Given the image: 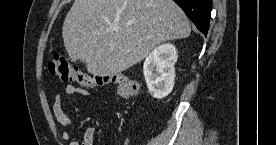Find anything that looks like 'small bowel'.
Segmentation results:
<instances>
[{
  "mask_svg": "<svg viewBox=\"0 0 276 145\" xmlns=\"http://www.w3.org/2000/svg\"><path fill=\"white\" fill-rule=\"evenodd\" d=\"M65 95H79V96H90L91 93L81 87H76L74 85H67L64 89ZM52 111L53 115L56 119V121L64 126V127H71L73 125V122L70 120V118L67 116V114L64 112L63 109V95L62 94H56L53 99L52 103ZM96 135V129L93 127H89L85 129L83 134V141L81 145H93L94 144V138ZM62 138L64 141L68 143V145H78L77 142L73 141L71 139V135L68 131H64L62 133Z\"/></svg>",
  "mask_w": 276,
  "mask_h": 145,
  "instance_id": "small-bowel-1",
  "label": "small bowel"
}]
</instances>
